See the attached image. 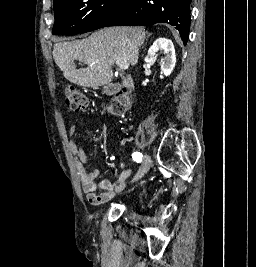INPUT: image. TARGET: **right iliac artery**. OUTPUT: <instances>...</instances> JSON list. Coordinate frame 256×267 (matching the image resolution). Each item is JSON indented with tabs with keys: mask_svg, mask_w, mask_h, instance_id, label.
<instances>
[{
	"mask_svg": "<svg viewBox=\"0 0 256 267\" xmlns=\"http://www.w3.org/2000/svg\"><path fill=\"white\" fill-rule=\"evenodd\" d=\"M132 158H133V160L136 161V162H141V161H142V158H143V155H142V153L134 152V153L132 154Z\"/></svg>",
	"mask_w": 256,
	"mask_h": 267,
	"instance_id": "obj_1",
	"label": "right iliac artery"
}]
</instances>
